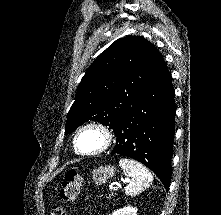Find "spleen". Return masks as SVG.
<instances>
[{"label": "spleen", "instance_id": "spleen-1", "mask_svg": "<svg viewBox=\"0 0 221 215\" xmlns=\"http://www.w3.org/2000/svg\"><path fill=\"white\" fill-rule=\"evenodd\" d=\"M119 166L123 169L126 176L130 177L129 184L125 187L127 195H137L148 188L153 180L150 171L141 163L132 159L122 158Z\"/></svg>", "mask_w": 221, "mask_h": 215}]
</instances>
